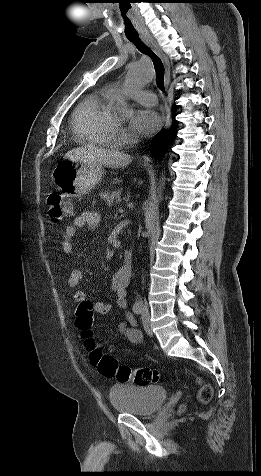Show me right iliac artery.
I'll return each instance as SVG.
<instances>
[{"instance_id":"obj_1","label":"right iliac artery","mask_w":261,"mask_h":476,"mask_svg":"<svg viewBox=\"0 0 261 476\" xmlns=\"http://www.w3.org/2000/svg\"><path fill=\"white\" fill-rule=\"evenodd\" d=\"M143 311V305L142 304H135L133 306V312L137 315H140Z\"/></svg>"}]
</instances>
